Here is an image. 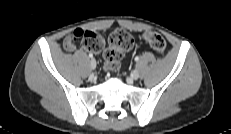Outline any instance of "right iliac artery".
I'll use <instances>...</instances> for the list:
<instances>
[{"instance_id":"1","label":"right iliac artery","mask_w":231,"mask_h":134,"mask_svg":"<svg viewBox=\"0 0 231 134\" xmlns=\"http://www.w3.org/2000/svg\"><path fill=\"white\" fill-rule=\"evenodd\" d=\"M89 57H90V58H93V54H92V53H89Z\"/></svg>"}]
</instances>
